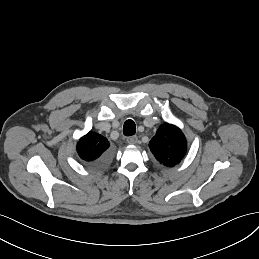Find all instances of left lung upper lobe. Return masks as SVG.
Here are the masks:
<instances>
[{
    "label": "left lung upper lobe",
    "mask_w": 259,
    "mask_h": 259,
    "mask_svg": "<svg viewBox=\"0 0 259 259\" xmlns=\"http://www.w3.org/2000/svg\"><path fill=\"white\" fill-rule=\"evenodd\" d=\"M149 148L157 161L167 167L179 164L187 151L182 131L175 125L164 123L149 142Z\"/></svg>",
    "instance_id": "5c2ea615"
}]
</instances>
